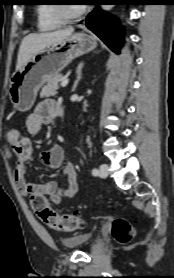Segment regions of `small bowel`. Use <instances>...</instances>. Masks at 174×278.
I'll return each mask as SVG.
<instances>
[{
  "mask_svg": "<svg viewBox=\"0 0 174 278\" xmlns=\"http://www.w3.org/2000/svg\"><path fill=\"white\" fill-rule=\"evenodd\" d=\"M57 114V104L54 100L46 99L40 102L26 119V128L31 135L38 134L42 126L51 122ZM12 146L16 158L14 177L18 190L25 196L33 193L49 196L52 203L59 205L63 199L75 196L78 191L77 173L72 163H66L64 175L66 185L59 187L54 180L44 183H32L27 179L28 162L33 155V146L29 138L21 137ZM42 162L48 167L58 168L64 159L61 146L54 145L49 151L42 154Z\"/></svg>",
  "mask_w": 174,
  "mask_h": 278,
  "instance_id": "small-bowel-1",
  "label": "small bowel"
}]
</instances>
